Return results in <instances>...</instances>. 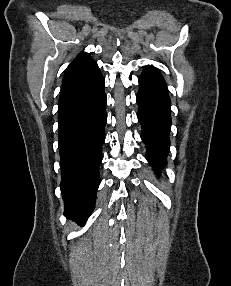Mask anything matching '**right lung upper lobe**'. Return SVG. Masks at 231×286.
I'll list each match as a JSON object with an SVG mask.
<instances>
[{"instance_id": "obj_1", "label": "right lung upper lobe", "mask_w": 231, "mask_h": 286, "mask_svg": "<svg viewBox=\"0 0 231 286\" xmlns=\"http://www.w3.org/2000/svg\"><path fill=\"white\" fill-rule=\"evenodd\" d=\"M97 63L86 52L80 53L68 66L63 81H74L81 76L98 71Z\"/></svg>"}]
</instances>
